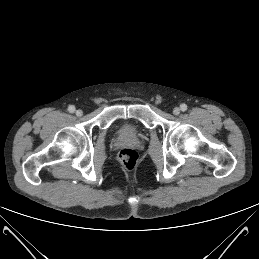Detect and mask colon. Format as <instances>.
I'll list each match as a JSON object with an SVG mask.
<instances>
[{"label": "colon", "instance_id": "colon-1", "mask_svg": "<svg viewBox=\"0 0 259 259\" xmlns=\"http://www.w3.org/2000/svg\"><path fill=\"white\" fill-rule=\"evenodd\" d=\"M118 159L124 168L132 169L136 165L138 154L133 149L125 148L119 152Z\"/></svg>", "mask_w": 259, "mask_h": 259}]
</instances>
